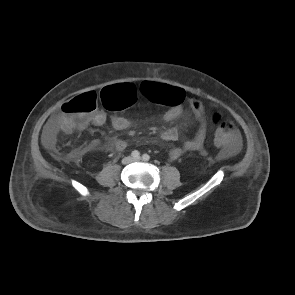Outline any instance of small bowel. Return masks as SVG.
I'll use <instances>...</instances> for the list:
<instances>
[{"instance_id": "obj_1", "label": "small bowel", "mask_w": 295, "mask_h": 295, "mask_svg": "<svg viewBox=\"0 0 295 295\" xmlns=\"http://www.w3.org/2000/svg\"><path fill=\"white\" fill-rule=\"evenodd\" d=\"M175 88V87H174ZM181 95V100L172 105L170 109H168L163 116L161 117L162 123H169L172 122L178 118H180L183 114V105L182 101L184 99V91L180 88H176ZM191 108L194 113L195 120L198 124V129L196 134L193 138L187 140L184 142L183 147H174L169 151V158L172 160H176L180 158L185 152H199L202 154H205V148H204V141L206 137V131H207V125H206V107L205 105L199 101V100H193L191 101ZM58 117L51 118L48 123L46 124L43 134H42V142L44 146L48 150H53L55 148L56 144V136L57 132L59 130V124H58ZM106 114L103 111H94L89 115L86 120L81 123V125L78 127L79 129L83 130L87 127L93 125V126H101L106 122ZM111 125L113 129L117 131H124L131 129L133 127V123L128 120L127 118L119 115H115L111 118ZM161 138L168 141H176L179 138V132L176 128H168L161 132ZM98 146V143L94 142L91 147ZM110 146H112L117 151H123L127 147V142L122 139H111L110 140ZM240 148V138L238 135L237 142L229 147L228 152L233 154L237 152Z\"/></svg>"}]
</instances>
